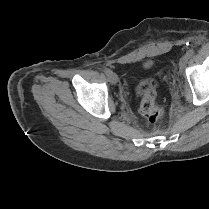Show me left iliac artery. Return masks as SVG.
Segmentation results:
<instances>
[{
  "label": "left iliac artery",
  "instance_id": "1",
  "mask_svg": "<svg viewBox=\"0 0 209 209\" xmlns=\"http://www.w3.org/2000/svg\"><path fill=\"white\" fill-rule=\"evenodd\" d=\"M194 50L193 49H189L188 51H187V53H186V55L190 58V57H192L193 55H194Z\"/></svg>",
  "mask_w": 209,
  "mask_h": 209
}]
</instances>
